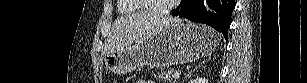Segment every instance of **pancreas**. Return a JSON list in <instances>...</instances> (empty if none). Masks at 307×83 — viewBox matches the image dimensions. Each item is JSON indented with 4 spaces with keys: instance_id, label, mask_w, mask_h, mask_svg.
Listing matches in <instances>:
<instances>
[{
    "instance_id": "pancreas-1",
    "label": "pancreas",
    "mask_w": 307,
    "mask_h": 83,
    "mask_svg": "<svg viewBox=\"0 0 307 83\" xmlns=\"http://www.w3.org/2000/svg\"><path fill=\"white\" fill-rule=\"evenodd\" d=\"M174 72L172 70L163 71L159 74V77L163 80L172 81Z\"/></svg>"
}]
</instances>
